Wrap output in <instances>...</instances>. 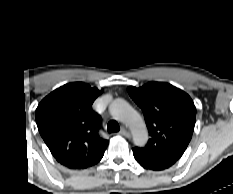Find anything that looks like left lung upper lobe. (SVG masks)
<instances>
[{"instance_id": "5c2ea615", "label": "left lung upper lobe", "mask_w": 233, "mask_h": 194, "mask_svg": "<svg viewBox=\"0 0 233 194\" xmlns=\"http://www.w3.org/2000/svg\"><path fill=\"white\" fill-rule=\"evenodd\" d=\"M128 93L142 109L150 139L137 153L176 162L186 150L195 125L196 108L190 96L168 83L149 82Z\"/></svg>"}]
</instances>
